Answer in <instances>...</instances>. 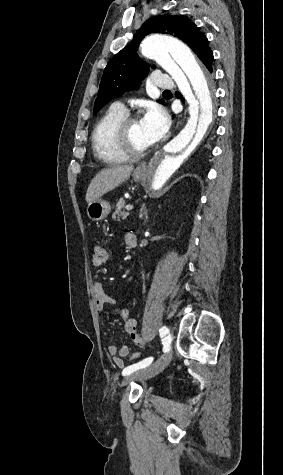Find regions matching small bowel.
Wrapping results in <instances>:
<instances>
[{"mask_svg": "<svg viewBox=\"0 0 283 475\" xmlns=\"http://www.w3.org/2000/svg\"><path fill=\"white\" fill-rule=\"evenodd\" d=\"M133 235L127 234L125 236V242L128 247H134L135 244L131 243ZM92 293L95 299V306L97 309L102 310L106 305H110L114 302L112 296H110L103 284L99 281H95L92 284ZM125 311L120 313V315H125L129 313L128 310L124 309ZM124 319V318H123ZM110 356L114 359L117 366H123V358L127 357L129 354V347L127 345H117L112 344L108 348Z\"/></svg>", "mask_w": 283, "mask_h": 475, "instance_id": "small-bowel-1", "label": "small bowel"}]
</instances>
